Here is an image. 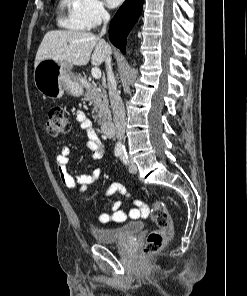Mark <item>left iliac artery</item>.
<instances>
[{
    "instance_id": "left-iliac-artery-1",
    "label": "left iliac artery",
    "mask_w": 247,
    "mask_h": 296,
    "mask_svg": "<svg viewBox=\"0 0 247 296\" xmlns=\"http://www.w3.org/2000/svg\"><path fill=\"white\" fill-rule=\"evenodd\" d=\"M120 158H121V160L123 161V163H125V164L129 163V161H128V156H127V153H126V152H123V153L120 155Z\"/></svg>"
}]
</instances>
